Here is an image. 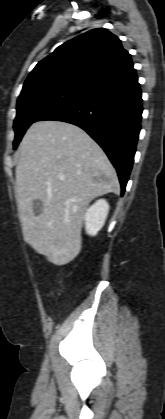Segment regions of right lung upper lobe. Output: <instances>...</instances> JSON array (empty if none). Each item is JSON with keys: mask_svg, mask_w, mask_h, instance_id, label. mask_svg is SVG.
<instances>
[{"mask_svg": "<svg viewBox=\"0 0 165 419\" xmlns=\"http://www.w3.org/2000/svg\"><path fill=\"white\" fill-rule=\"evenodd\" d=\"M133 69L130 54L107 29L90 30L60 45L40 61L26 79L21 95L60 86L87 93Z\"/></svg>", "mask_w": 165, "mask_h": 419, "instance_id": "cb5924a9", "label": "right lung upper lobe"}]
</instances>
